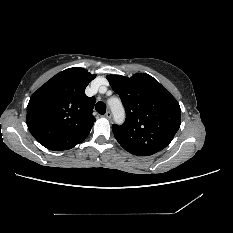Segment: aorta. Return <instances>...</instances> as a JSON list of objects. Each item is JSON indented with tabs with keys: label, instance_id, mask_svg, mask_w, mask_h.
<instances>
[{
	"label": "aorta",
	"instance_id": "1",
	"mask_svg": "<svg viewBox=\"0 0 233 233\" xmlns=\"http://www.w3.org/2000/svg\"><path fill=\"white\" fill-rule=\"evenodd\" d=\"M116 123H122L125 118L124 108L119 100L110 105Z\"/></svg>",
	"mask_w": 233,
	"mask_h": 233
}]
</instances>
